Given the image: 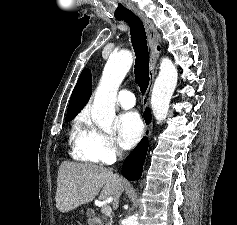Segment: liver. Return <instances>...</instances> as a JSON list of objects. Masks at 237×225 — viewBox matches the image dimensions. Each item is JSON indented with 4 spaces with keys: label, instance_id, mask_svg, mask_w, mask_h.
<instances>
[{
    "label": "liver",
    "instance_id": "1",
    "mask_svg": "<svg viewBox=\"0 0 237 225\" xmlns=\"http://www.w3.org/2000/svg\"><path fill=\"white\" fill-rule=\"evenodd\" d=\"M100 190L99 198L113 196L116 207L124 181L105 167L65 161L58 170L56 208L62 213L72 211L93 201Z\"/></svg>",
    "mask_w": 237,
    "mask_h": 225
}]
</instances>
